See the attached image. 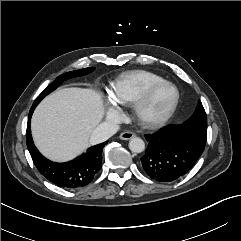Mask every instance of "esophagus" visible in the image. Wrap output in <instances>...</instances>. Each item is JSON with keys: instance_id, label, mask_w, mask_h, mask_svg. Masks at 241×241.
Wrapping results in <instances>:
<instances>
[{"instance_id": "1", "label": "esophagus", "mask_w": 241, "mask_h": 241, "mask_svg": "<svg viewBox=\"0 0 241 241\" xmlns=\"http://www.w3.org/2000/svg\"><path fill=\"white\" fill-rule=\"evenodd\" d=\"M135 136V134L131 131H124L120 134L119 138L121 140H130Z\"/></svg>"}]
</instances>
